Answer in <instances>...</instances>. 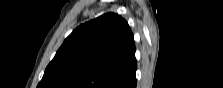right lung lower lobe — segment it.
<instances>
[{
  "label": "right lung lower lobe",
  "mask_w": 223,
  "mask_h": 88,
  "mask_svg": "<svg viewBox=\"0 0 223 88\" xmlns=\"http://www.w3.org/2000/svg\"><path fill=\"white\" fill-rule=\"evenodd\" d=\"M131 87L136 88V77L131 81Z\"/></svg>",
  "instance_id": "right-lung-lower-lobe-1"
}]
</instances>
